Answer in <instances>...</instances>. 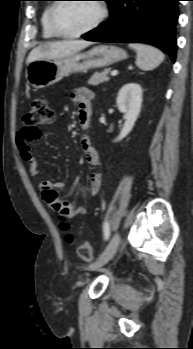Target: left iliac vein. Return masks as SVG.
Instances as JSON below:
<instances>
[{
    "label": "left iliac vein",
    "mask_w": 193,
    "mask_h": 349,
    "mask_svg": "<svg viewBox=\"0 0 193 349\" xmlns=\"http://www.w3.org/2000/svg\"><path fill=\"white\" fill-rule=\"evenodd\" d=\"M119 243H120V235L118 232H116L110 239L107 247L105 248L103 253L100 255L99 259L90 266V269L97 270L100 267H102L104 264H106L114 256L119 246Z\"/></svg>",
    "instance_id": "left-iliac-vein-1"
}]
</instances>
